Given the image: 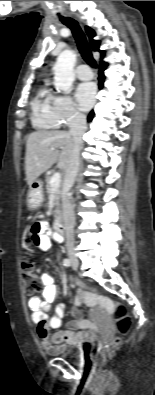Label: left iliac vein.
I'll return each mask as SVG.
<instances>
[{
	"label": "left iliac vein",
	"mask_w": 155,
	"mask_h": 395,
	"mask_svg": "<svg viewBox=\"0 0 155 395\" xmlns=\"http://www.w3.org/2000/svg\"><path fill=\"white\" fill-rule=\"evenodd\" d=\"M72 268H73L74 270H76V269H77V265H72Z\"/></svg>",
	"instance_id": "obj_1"
}]
</instances>
